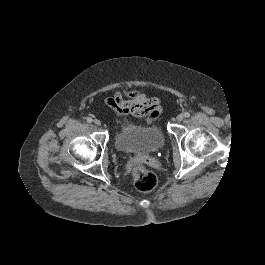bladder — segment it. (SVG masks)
Segmentation results:
<instances>
[{"mask_svg": "<svg viewBox=\"0 0 265 265\" xmlns=\"http://www.w3.org/2000/svg\"><path fill=\"white\" fill-rule=\"evenodd\" d=\"M164 140L159 124L147 127L130 125L117 130L114 135L117 149L131 154H154L162 149Z\"/></svg>", "mask_w": 265, "mask_h": 265, "instance_id": "31cf9c89", "label": "bladder"}]
</instances>
